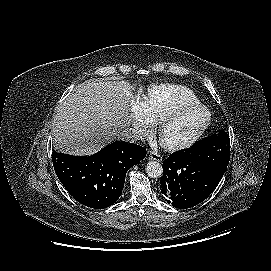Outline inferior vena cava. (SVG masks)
I'll return each mask as SVG.
<instances>
[{
  "instance_id": "inferior-vena-cava-1",
  "label": "inferior vena cava",
  "mask_w": 271,
  "mask_h": 271,
  "mask_svg": "<svg viewBox=\"0 0 271 271\" xmlns=\"http://www.w3.org/2000/svg\"><path fill=\"white\" fill-rule=\"evenodd\" d=\"M118 138L128 143H134L143 139L142 135L134 128L124 129L120 132Z\"/></svg>"
}]
</instances>
